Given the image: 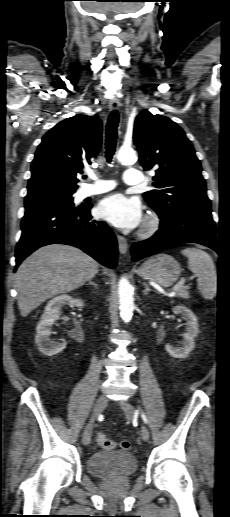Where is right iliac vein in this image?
I'll return each mask as SVG.
<instances>
[{"instance_id": "63e3f726", "label": "right iliac vein", "mask_w": 230, "mask_h": 517, "mask_svg": "<svg viewBox=\"0 0 230 517\" xmlns=\"http://www.w3.org/2000/svg\"><path fill=\"white\" fill-rule=\"evenodd\" d=\"M107 403H108V400H107V397L105 395L99 396L98 399L96 400L94 408H93V412H92V417H91L90 423L88 424V426H87V428H86V430L84 432V435H83V444L84 445H88L90 443L93 422L102 413V411L105 409V407L107 406Z\"/></svg>"}]
</instances>
